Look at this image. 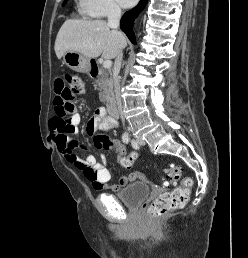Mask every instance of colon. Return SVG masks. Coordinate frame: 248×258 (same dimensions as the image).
I'll return each mask as SVG.
<instances>
[{"mask_svg": "<svg viewBox=\"0 0 248 258\" xmlns=\"http://www.w3.org/2000/svg\"><path fill=\"white\" fill-rule=\"evenodd\" d=\"M69 84L70 95L59 101L56 114L52 118V125L63 132L72 130L70 115L74 111L73 105L69 103L73 95H81L85 93L86 87L84 81L78 76H70L67 79ZM98 143L104 147H114L118 153V159L124 170H131L136 154H127V145H121L120 141H111L110 139L98 136ZM180 166L174 162H169L165 168L164 187L175 185L180 179ZM95 176L91 169L85 170V177ZM192 179L185 177L182 180L181 187L174 189L169 193H162L148 205V213L151 217L164 216L172 210L182 208L190 196V188L192 187Z\"/></svg>", "mask_w": 248, "mask_h": 258, "instance_id": "5ec220e1", "label": "colon"}]
</instances>
